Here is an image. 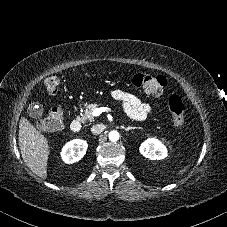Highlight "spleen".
<instances>
[{
	"label": "spleen",
	"mask_w": 227,
	"mask_h": 227,
	"mask_svg": "<svg viewBox=\"0 0 227 227\" xmlns=\"http://www.w3.org/2000/svg\"><path fill=\"white\" fill-rule=\"evenodd\" d=\"M185 170H186V167H184L183 169H181V170L179 171V173H178V174H182V173H184V172H185Z\"/></svg>",
	"instance_id": "3e777b00"
}]
</instances>
